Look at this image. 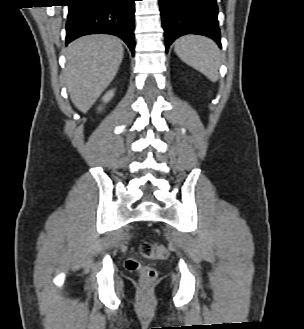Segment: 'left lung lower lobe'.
Wrapping results in <instances>:
<instances>
[{
	"label": "left lung lower lobe",
	"instance_id": "obj_1",
	"mask_svg": "<svg viewBox=\"0 0 304 329\" xmlns=\"http://www.w3.org/2000/svg\"><path fill=\"white\" fill-rule=\"evenodd\" d=\"M159 5L166 52L175 39L185 34L207 36L221 47L216 0H159Z\"/></svg>",
	"mask_w": 304,
	"mask_h": 329
}]
</instances>
